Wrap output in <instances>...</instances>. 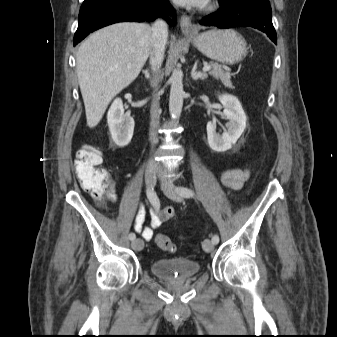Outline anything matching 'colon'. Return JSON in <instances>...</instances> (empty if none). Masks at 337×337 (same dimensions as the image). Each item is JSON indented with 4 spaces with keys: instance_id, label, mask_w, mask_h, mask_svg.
<instances>
[{
    "instance_id": "5ec220e1",
    "label": "colon",
    "mask_w": 337,
    "mask_h": 337,
    "mask_svg": "<svg viewBox=\"0 0 337 337\" xmlns=\"http://www.w3.org/2000/svg\"><path fill=\"white\" fill-rule=\"evenodd\" d=\"M102 162V150L92 145L81 147L75 160V171L81 186L99 200L104 199L112 185L108 172L100 167ZM155 241L164 251L174 252L176 250L173 241L163 234H157Z\"/></svg>"
}]
</instances>
